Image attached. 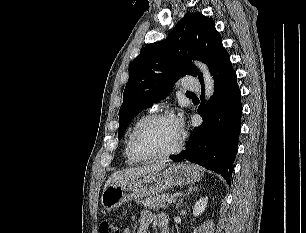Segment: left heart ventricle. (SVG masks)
Masks as SVG:
<instances>
[{"instance_id":"obj_1","label":"left heart ventricle","mask_w":306,"mask_h":233,"mask_svg":"<svg viewBox=\"0 0 306 233\" xmlns=\"http://www.w3.org/2000/svg\"><path fill=\"white\" fill-rule=\"evenodd\" d=\"M180 132L173 119L158 120L149 125L140 135L139 147L144 152H165L177 143Z\"/></svg>"}]
</instances>
